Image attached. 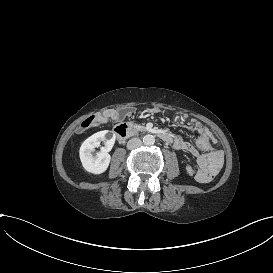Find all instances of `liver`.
I'll list each match as a JSON object with an SVG mask.
<instances>
[{
	"instance_id": "obj_1",
	"label": "liver",
	"mask_w": 273,
	"mask_h": 273,
	"mask_svg": "<svg viewBox=\"0 0 273 273\" xmlns=\"http://www.w3.org/2000/svg\"><path fill=\"white\" fill-rule=\"evenodd\" d=\"M110 112H111L110 110L104 112V113H103V116L99 115V116L96 118V120H97L98 122H100V123H103V118L108 117V116H109L108 114H110Z\"/></svg>"
}]
</instances>
